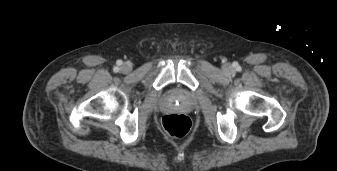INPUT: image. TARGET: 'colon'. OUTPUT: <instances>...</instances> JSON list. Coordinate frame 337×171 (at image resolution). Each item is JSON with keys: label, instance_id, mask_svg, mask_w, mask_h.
<instances>
[{"label": "colon", "instance_id": "1", "mask_svg": "<svg viewBox=\"0 0 337 171\" xmlns=\"http://www.w3.org/2000/svg\"><path fill=\"white\" fill-rule=\"evenodd\" d=\"M165 131L174 137H182L191 129V120L182 114H168L162 119Z\"/></svg>", "mask_w": 337, "mask_h": 171}]
</instances>
